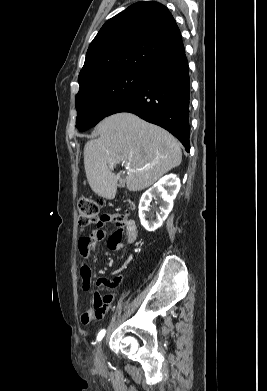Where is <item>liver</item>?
I'll use <instances>...</instances> for the list:
<instances>
[{"mask_svg":"<svg viewBox=\"0 0 267 391\" xmlns=\"http://www.w3.org/2000/svg\"><path fill=\"white\" fill-rule=\"evenodd\" d=\"M100 135L84 147V166L91 189L107 199L116 194L118 177L109 166L130 163L125 178L128 190L141 191L180 165L182 152L169 132L131 113H117L96 127Z\"/></svg>","mask_w":267,"mask_h":391,"instance_id":"liver-1","label":"liver"}]
</instances>
